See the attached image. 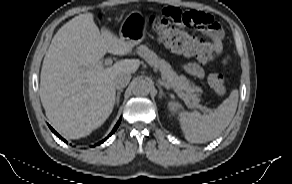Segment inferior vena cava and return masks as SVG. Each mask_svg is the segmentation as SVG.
Here are the masks:
<instances>
[{
    "mask_svg": "<svg viewBox=\"0 0 292 184\" xmlns=\"http://www.w3.org/2000/svg\"><path fill=\"white\" fill-rule=\"evenodd\" d=\"M130 79H131V74L129 73L119 74L114 80L115 87L117 89L125 88L129 84Z\"/></svg>",
    "mask_w": 292,
    "mask_h": 184,
    "instance_id": "602c4592",
    "label": "inferior vena cava"
}]
</instances>
